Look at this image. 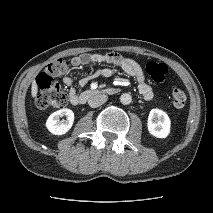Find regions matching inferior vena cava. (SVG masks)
Returning a JSON list of instances; mask_svg holds the SVG:
<instances>
[{
    "label": "inferior vena cava",
    "mask_w": 213,
    "mask_h": 213,
    "mask_svg": "<svg viewBox=\"0 0 213 213\" xmlns=\"http://www.w3.org/2000/svg\"><path fill=\"white\" fill-rule=\"evenodd\" d=\"M108 99V96L105 94H97L89 98L88 104L92 108L99 107L103 105Z\"/></svg>",
    "instance_id": "obj_1"
}]
</instances>
